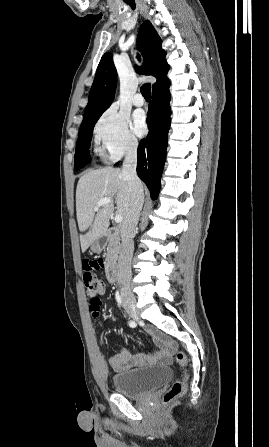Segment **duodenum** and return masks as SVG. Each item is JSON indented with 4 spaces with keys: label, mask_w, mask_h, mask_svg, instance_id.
<instances>
[{
    "label": "duodenum",
    "mask_w": 269,
    "mask_h": 447,
    "mask_svg": "<svg viewBox=\"0 0 269 447\" xmlns=\"http://www.w3.org/2000/svg\"><path fill=\"white\" fill-rule=\"evenodd\" d=\"M109 237H114L119 235V230L117 228H110L106 232ZM106 275L109 282L114 283L117 280V269L116 265L113 263L108 264L106 268Z\"/></svg>",
    "instance_id": "duodenum-1"
}]
</instances>
